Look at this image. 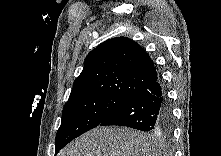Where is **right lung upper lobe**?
Segmentation results:
<instances>
[{"mask_svg": "<svg viewBox=\"0 0 221 156\" xmlns=\"http://www.w3.org/2000/svg\"><path fill=\"white\" fill-rule=\"evenodd\" d=\"M157 79L154 63L146 51L129 38L116 37L87 55L68 101L96 94L129 98Z\"/></svg>", "mask_w": 221, "mask_h": 156, "instance_id": "cb5924a9", "label": "right lung upper lobe"}]
</instances>
